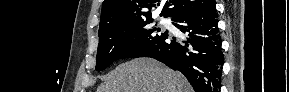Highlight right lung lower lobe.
<instances>
[{
	"label": "right lung lower lobe",
	"instance_id": "right-lung-lower-lobe-1",
	"mask_svg": "<svg viewBox=\"0 0 289 92\" xmlns=\"http://www.w3.org/2000/svg\"><path fill=\"white\" fill-rule=\"evenodd\" d=\"M172 20L175 27L186 33L185 39L167 40V36L136 57H152L182 72L195 92H218L224 57L215 1Z\"/></svg>",
	"mask_w": 289,
	"mask_h": 92
}]
</instances>
